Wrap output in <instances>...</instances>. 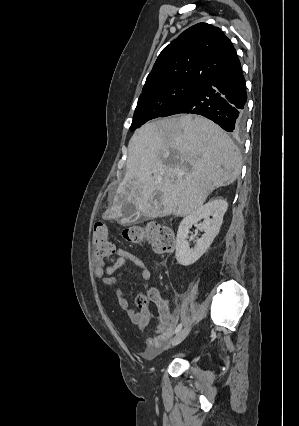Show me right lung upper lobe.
I'll return each instance as SVG.
<instances>
[{
	"mask_svg": "<svg viewBox=\"0 0 299 426\" xmlns=\"http://www.w3.org/2000/svg\"><path fill=\"white\" fill-rule=\"evenodd\" d=\"M237 60L231 41L218 27L196 24L162 50L142 92L169 83L201 86Z\"/></svg>",
	"mask_w": 299,
	"mask_h": 426,
	"instance_id": "obj_1",
	"label": "right lung upper lobe"
}]
</instances>
